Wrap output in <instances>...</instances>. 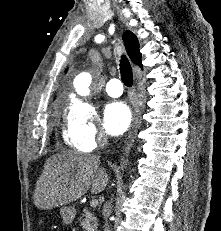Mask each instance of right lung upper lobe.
Wrapping results in <instances>:
<instances>
[{
  "instance_id": "cb5924a9",
  "label": "right lung upper lobe",
  "mask_w": 221,
  "mask_h": 231,
  "mask_svg": "<svg viewBox=\"0 0 221 231\" xmlns=\"http://www.w3.org/2000/svg\"><path fill=\"white\" fill-rule=\"evenodd\" d=\"M122 39H123L127 54L132 60V62L137 64L140 68H142L141 53L139 50V42H138L137 37L131 31H126L124 32Z\"/></svg>"
}]
</instances>
